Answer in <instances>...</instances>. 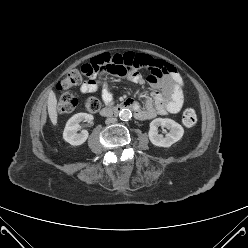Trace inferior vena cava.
Returning <instances> with one entry per match:
<instances>
[{"mask_svg": "<svg viewBox=\"0 0 248 248\" xmlns=\"http://www.w3.org/2000/svg\"><path fill=\"white\" fill-rule=\"evenodd\" d=\"M117 121V119L115 117H109L106 119V124H112L115 123Z\"/></svg>", "mask_w": 248, "mask_h": 248, "instance_id": "inferior-vena-cava-1", "label": "inferior vena cava"}]
</instances>
